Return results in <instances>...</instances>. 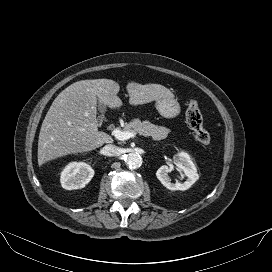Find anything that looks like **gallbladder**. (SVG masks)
Returning <instances> with one entry per match:
<instances>
[{"label": "gallbladder", "instance_id": "bac80fb5", "mask_svg": "<svg viewBox=\"0 0 272 272\" xmlns=\"http://www.w3.org/2000/svg\"><path fill=\"white\" fill-rule=\"evenodd\" d=\"M98 110L100 112V115L98 117L99 124H102V122L105 119V112L107 111V106L103 104L102 102L98 101Z\"/></svg>", "mask_w": 272, "mask_h": 272}]
</instances>
